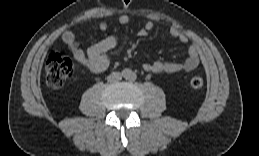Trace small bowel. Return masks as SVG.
<instances>
[{
  "instance_id": "obj_1",
  "label": "small bowel",
  "mask_w": 259,
  "mask_h": 156,
  "mask_svg": "<svg viewBox=\"0 0 259 156\" xmlns=\"http://www.w3.org/2000/svg\"><path fill=\"white\" fill-rule=\"evenodd\" d=\"M130 22L128 15H121L119 17V23L121 25H127ZM154 23L147 21L143 28L140 29L139 35L145 37L153 29ZM99 29L103 32L108 30V24L101 22ZM170 35L180 41L181 43H187V35L179 28L173 27L170 30ZM62 41L68 47L75 60L81 63L88 70L101 73L105 71L110 65V59L108 52L112 51L117 46V38L114 36H108L103 40L90 46L84 51L77 41L76 35L73 31H66L62 35ZM200 63L199 51L195 44H191L188 49V56L183 62H168V61H154L146 62L142 64L143 70L155 74L161 73H175L180 71L191 72L194 71Z\"/></svg>"
}]
</instances>
